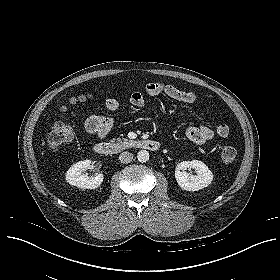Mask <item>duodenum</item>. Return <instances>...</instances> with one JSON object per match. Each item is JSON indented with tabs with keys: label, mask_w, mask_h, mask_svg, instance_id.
Wrapping results in <instances>:
<instances>
[{
	"label": "duodenum",
	"mask_w": 280,
	"mask_h": 280,
	"mask_svg": "<svg viewBox=\"0 0 280 280\" xmlns=\"http://www.w3.org/2000/svg\"><path fill=\"white\" fill-rule=\"evenodd\" d=\"M125 149H143L153 153H156L160 149V143L154 139H139L127 146H121L118 144L99 142L95 144L94 151L99 155H116L121 153Z\"/></svg>",
	"instance_id": "duodenum-1"
}]
</instances>
